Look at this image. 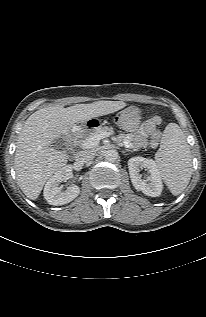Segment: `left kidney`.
<instances>
[{
    "instance_id": "5707ae66",
    "label": "left kidney",
    "mask_w": 206,
    "mask_h": 317,
    "mask_svg": "<svg viewBox=\"0 0 206 317\" xmlns=\"http://www.w3.org/2000/svg\"><path fill=\"white\" fill-rule=\"evenodd\" d=\"M128 168L131 182L136 190L151 197H157L161 194L163 184L154 160L140 156L132 157L128 160ZM143 168L148 171L146 180L142 179L140 174V169Z\"/></svg>"
}]
</instances>
